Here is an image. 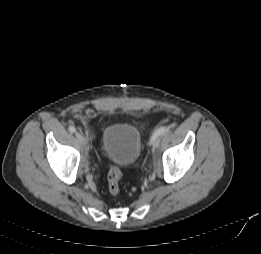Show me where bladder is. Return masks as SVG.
I'll return each mask as SVG.
<instances>
[{"instance_id": "bladder-1", "label": "bladder", "mask_w": 261, "mask_h": 254, "mask_svg": "<svg viewBox=\"0 0 261 254\" xmlns=\"http://www.w3.org/2000/svg\"><path fill=\"white\" fill-rule=\"evenodd\" d=\"M101 147L112 162L121 166L131 165L141 151L139 130L131 124H113L105 129Z\"/></svg>"}]
</instances>
